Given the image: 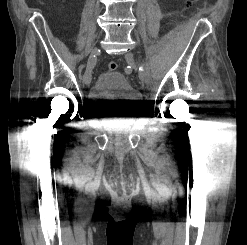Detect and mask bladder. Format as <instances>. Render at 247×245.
Listing matches in <instances>:
<instances>
[{
	"label": "bladder",
	"mask_w": 247,
	"mask_h": 245,
	"mask_svg": "<svg viewBox=\"0 0 247 245\" xmlns=\"http://www.w3.org/2000/svg\"><path fill=\"white\" fill-rule=\"evenodd\" d=\"M89 100L98 112L114 109L133 110L140 102L139 94L126 77L117 71L101 73L89 91Z\"/></svg>",
	"instance_id": "31cf9c89"
}]
</instances>
